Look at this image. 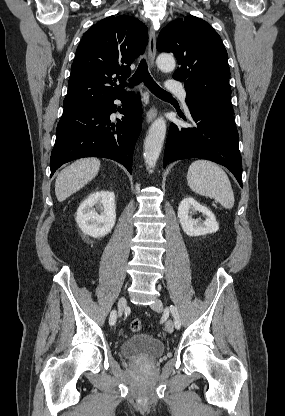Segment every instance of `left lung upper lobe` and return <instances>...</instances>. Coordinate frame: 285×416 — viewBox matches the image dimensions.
Returning <instances> with one entry per match:
<instances>
[{
    "mask_svg": "<svg viewBox=\"0 0 285 416\" xmlns=\"http://www.w3.org/2000/svg\"><path fill=\"white\" fill-rule=\"evenodd\" d=\"M157 50L175 55L173 78L184 82L188 106L232 109L227 52L210 24L191 15L176 19L161 30Z\"/></svg>",
    "mask_w": 285,
    "mask_h": 416,
    "instance_id": "1",
    "label": "left lung upper lobe"
}]
</instances>
